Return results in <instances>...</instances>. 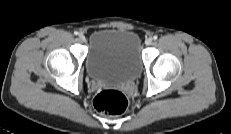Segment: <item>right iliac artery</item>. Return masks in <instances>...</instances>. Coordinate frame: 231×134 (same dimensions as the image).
Instances as JSON below:
<instances>
[{
	"label": "right iliac artery",
	"mask_w": 231,
	"mask_h": 134,
	"mask_svg": "<svg viewBox=\"0 0 231 134\" xmlns=\"http://www.w3.org/2000/svg\"><path fill=\"white\" fill-rule=\"evenodd\" d=\"M74 34H75V35H78V32H77V31H75V32H74Z\"/></svg>",
	"instance_id": "1"
}]
</instances>
